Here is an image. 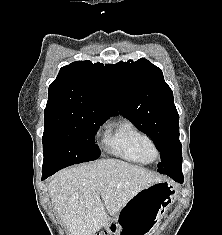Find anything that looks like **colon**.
Wrapping results in <instances>:
<instances>
[{"instance_id":"5ec220e1","label":"colon","mask_w":222,"mask_h":235,"mask_svg":"<svg viewBox=\"0 0 222 235\" xmlns=\"http://www.w3.org/2000/svg\"><path fill=\"white\" fill-rule=\"evenodd\" d=\"M96 235H106V233H100V234H96Z\"/></svg>"}]
</instances>
